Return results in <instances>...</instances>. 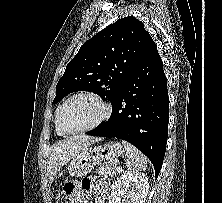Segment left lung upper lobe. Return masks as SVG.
<instances>
[{
    "mask_svg": "<svg viewBox=\"0 0 222 203\" xmlns=\"http://www.w3.org/2000/svg\"><path fill=\"white\" fill-rule=\"evenodd\" d=\"M144 24L125 17L87 40L68 63L56 86L58 103L76 91H90L111 103L150 40Z\"/></svg>",
    "mask_w": 222,
    "mask_h": 203,
    "instance_id": "obj_1",
    "label": "left lung upper lobe"
}]
</instances>
